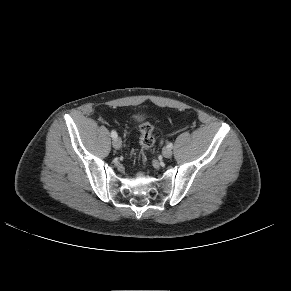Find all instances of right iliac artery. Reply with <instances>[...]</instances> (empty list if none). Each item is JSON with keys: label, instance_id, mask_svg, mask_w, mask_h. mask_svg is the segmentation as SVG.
Returning <instances> with one entry per match:
<instances>
[{"label": "right iliac artery", "instance_id": "obj_1", "mask_svg": "<svg viewBox=\"0 0 291 291\" xmlns=\"http://www.w3.org/2000/svg\"><path fill=\"white\" fill-rule=\"evenodd\" d=\"M111 137H112L113 139L117 138V133H116V131H114V130L111 131Z\"/></svg>", "mask_w": 291, "mask_h": 291}]
</instances>
